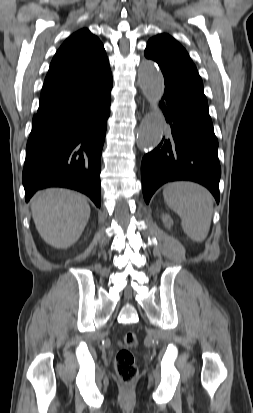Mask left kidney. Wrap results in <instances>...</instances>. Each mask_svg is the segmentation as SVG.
<instances>
[{
	"label": "left kidney",
	"instance_id": "1",
	"mask_svg": "<svg viewBox=\"0 0 253 413\" xmlns=\"http://www.w3.org/2000/svg\"><path fill=\"white\" fill-rule=\"evenodd\" d=\"M162 221H163L165 227H167V228H171V226L173 225V220L171 219V217L168 214H163L162 215Z\"/></svg>",
	"mask_w": 253,
	"mask_h": 413
}]
</instances>
